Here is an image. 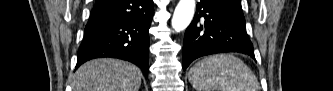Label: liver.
I'll return each instance as SVG.
<instances>
[{
    "label": "liver",
    "instance_id": "1",
    "mask_svg": "<svg viewBox=\"0 0 333 91\" xmlns=\"http://www.w3.org/2000/svg\"><path fill=\"white\" fill-rule=\"evenodd\" d=\"M140 69L128 62L103 58L91 60L75 72L73 91H138Z\"/></svg>",
    "mask_w": 333,
    "mask_h": 91
}]
</instances>
